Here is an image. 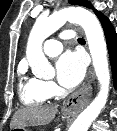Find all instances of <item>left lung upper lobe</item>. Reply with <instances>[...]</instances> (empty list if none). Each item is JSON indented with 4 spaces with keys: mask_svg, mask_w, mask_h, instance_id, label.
<instances>
[{
    "mask_svg": "<svg viewBox=\"0 0 117 131\" xmlns=\"http://www.w3.org/2000/svg\"><path fill=\"white\" fill-rule=\"evenodd\" d=\"M69 3L72 4V5H80V6H84V7H87V8H91L95 12V14L98 12L97 10H95L92 7L91 3L89 1H86V0H69Z\"/></svg>",
    "mask_w": 117,
    "mask_h": 131,
    "instance_id": "5c2ea615",
    "label": "left lung upper lobe"
}]
</instances>
